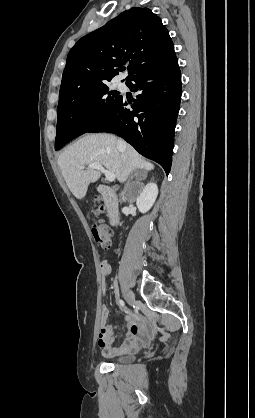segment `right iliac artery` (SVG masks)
Listing matches in <instances>:
<instances>
[{
    "label": "right iliac artery",
    "mask_w": 255,
    "mask_h": 418,
    "mask_svg": "<svg viewBox=\"0 0 255 418\" xmlns=\"http://www.w3.org/2000/svg\"><path fill=\"white\" fill-rule=\"evenodd\" d=\"M118 302H119L120 306H124V302L121 299H119Z\"/></svg>",
    "instance_id": "1"
}]
</instances>
